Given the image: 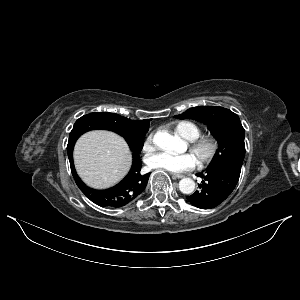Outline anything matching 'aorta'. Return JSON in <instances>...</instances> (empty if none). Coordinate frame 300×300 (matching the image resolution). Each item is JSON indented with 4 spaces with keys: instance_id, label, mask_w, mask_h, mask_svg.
Segmentation results:
<instances>
[{
    "instance_id": "aorta-1",
    "label": "aorta",
    "mask_w": 300,
    "mask_h": 300,
    "mask_svg": "<svg viewBox=\"0 0 300 300\" xmlns=\"http://www.w3.org/2000/svg\"><path fill=\"white\" fill-rule=\"evenodd\" d=\"M154 144L166 151H179L183 141L168 132H157L153 139ZM179 189L183 194H192L195 190V182L191 178H183L179 182Z\"/></svg>"
}]
</instances>
